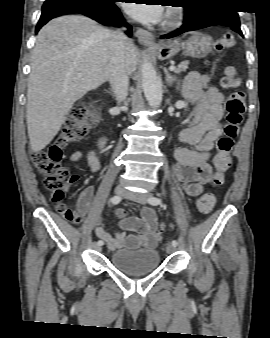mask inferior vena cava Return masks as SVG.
Wrapping results in <instances>:
<instances>
[{"label":"inferior vena cava","mask_w":270,"mask_h":338,"mask_svg":"<svg viewBox=\"0 0 270 338\" xmlns=\"http://www.w3.org/2000/svg\"><path fill=\"white\" fill-rule=\"evenodd\" d=\"M128 38L123 29L113 32L110 40L109 82L118 103L128 95L129 78L125 66V45Z\"/></svg>","instance_id":"inferior-vena-cava-1"}]
</instances>
